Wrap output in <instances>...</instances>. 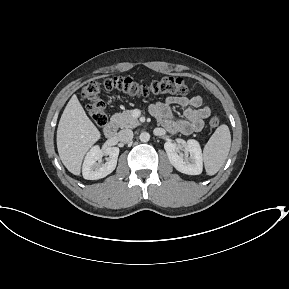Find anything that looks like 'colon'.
<instances>
[{
  "mask_svg": "<svg viewBox=\"0 0 289 289\" xmlns=\"http://www.w3.org/2000/svg\"><path fill=\"white\" fill-rule=\"evenodd\" d=\"M117 90L130 96L148 97L151 95H182L187 93L188 86L181 77H163L149 83L136 82L129 77L115 76L103 81H90L82 89V96L88 102L87 112L99 127L108 121L105 104L100 99L103 91ZM221 119L217 114L208 118L207 127L210 131L220 125Z\"/></svg>",
  "mask_w": 289,
  "mask_h": 289,
  "instance_id": "obj_1",
  "label": "colon"
}]
</instances>
